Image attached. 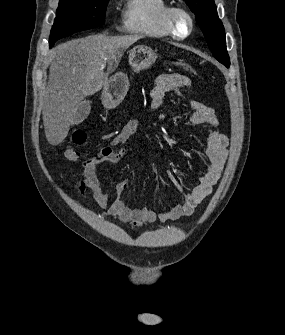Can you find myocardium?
Listing matches in <instances>:
<instances>
[{"instance_id":"f54148a6","label":"myocardium","mask_w":285,"mask_h":335,"mask_svg":"<svg viewBox=\"0 0 285 335\" xmlns=\"http://www.w3.org/2000/svg\"><path fill=\"white\" fill-rule=\"evenodd\" d=\"M175 18L176 19H182V13L180 11H177L176 14H175Z\"/></svg>"}]
</instances>
